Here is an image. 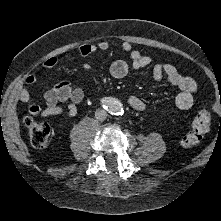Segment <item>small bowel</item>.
<instances>
[{
	"label": "small bowel",
	"mask_w": 221,
	"mask_h": 221,
	"mask_svg": "<svg viewBox=\"0 0 221 221\" xmlns=\"http://www.w3.org/2000/svg\"><path fill=\"white\" fill-rule=\"evenodd\" d=\"M121 48L129 54L131 66L134 69H142L151 64V58L143 55L140 51L133 48L131 43L122 40ZM109 49V43L105 40L98 43L83 44L78 48L83 57H88L97 51H106ZM59 59L51 57L46 60L44 67L51 69L57 66ZM83 68L87 71L91 69L89 63H84ZM129 72V64L123 60H117L112 63L110 73L114 78H124ZM153 77L157 82L166 80L170 85L178 89L175 98V105L178 109H189L194 103V94L197 91V83L190 77L181 74L173 65L168 63H157L153 67ZM39 79L38 74H32L27 78L28 83H35ZM45 107L41 108L38 104L32 102L27 89H22L19 98L21 102L27 105L28 110L33 115L40 114L43 117H51L66 113L70 118L75 117L78 112V104L83 100L84 94L81 88L72 85L69 81H62L51 86L44 93ZM129 105L136 111L143 112L147 109L146 103L136 95L128 97ZM65 104V106H63Z\"/></svg>",
	"instance_id": "1"
}]
</instances>
